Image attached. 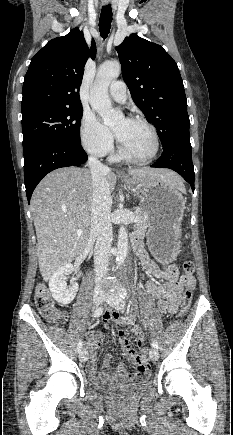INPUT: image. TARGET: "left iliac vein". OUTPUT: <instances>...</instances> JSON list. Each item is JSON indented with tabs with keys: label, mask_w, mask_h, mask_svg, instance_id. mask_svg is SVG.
<instances>
[{
	"label": "left iliac vein",
	"mask_w": 233,
	"mask_h": 435,
	"mask_svg": "<svg viewBox=\"0 0 233 435\" xmlns=\"http://www.w3.org/2000/svg\"><path fill=\"white\" fill-rule=\"evenodd\" d=\"M104 300L118 311L123 312L125 310V302L116 292L106 293L104 296ZM149 356L154 361L158 360V350L156 348H151Z\"/></svg>",
	"instance_id": "obj_1"
}]
</instances>
